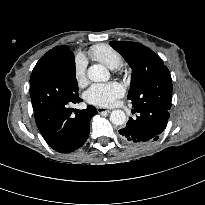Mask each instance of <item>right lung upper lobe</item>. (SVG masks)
<instances>
[{
    "mask_svg": "<svg viewBox=\"0 0 205 205\" xmlns=\"http://www.w3.org/2000/svg\"><path fill=\"white\" fill-rule=\"evenodd\" d=\"M72 51L67 46H57L48 51L36 64L32 71L31 80L37 77L40 73V67L44 64L50 63L55 67L58 65L59 61L66 57Z\"/></svg>",
    "mask_w": 205,
    "mask_h": 205,
    "instance_id": "cb5924a9",
    "label": "right lung upper lobe"
}]
</instances>
